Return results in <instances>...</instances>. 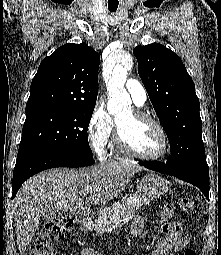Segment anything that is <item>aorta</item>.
<instances>
[{"label":"aorta","instance_id":"1","mask_svg":"<svg viewBox=\"0 0 221 255\" xmlns=\"http://www.w3.org/2000/svg\"><path fill=\"white\" fill-rule=\"evenodd\" d=\"M122 63H116L113 69L104 72L106 86L109 91L107 109L115 117L123 114L131 104L129 94L124 88L127 71L133 66V59L130 54H123Z\"/></svg>","mask_w":221,"mask_h":255}]
</instances>
